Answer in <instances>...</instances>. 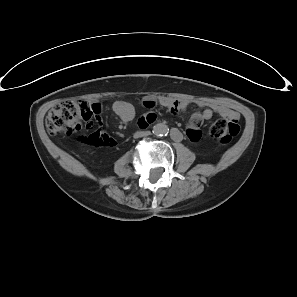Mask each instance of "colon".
<instances>
[{"instance_id": "5ec220e1", "label": "colon", "mask_w": 297, "mask_h": 297, "mask_svg": "<svg viewBox=\"0 0 297 297\" xmlns=\"http://www.w3.org/2000/svg\"><path fill=\"white\" fill-rule=\"evenodd\" d=\"M101 106L83 100H69L56 105L46 118V128L52 135H71L83 127L92 129L100 120ZM240 131L237 117H223L216 120L209 134L216 141L227 144ZM82 141L98 147L114 146L115 141L106 133L96 130Z\"/></svg>"}]
</instances>
